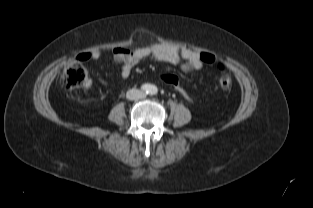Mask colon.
Here are the masks:
<instances>
[{"instance_id":"5ec220e1","label":"colon","mask_w":313,"mask_h":208,"mask_svg":"<svg viewBox=\"0 0 313 208\" xmlns=\"http://www.w3.org/2000/svg\"><path fill=\"white\" fill-rule=\"evenodd\" d=\"M200 59L205 64L216 62V57L211 52H201ZM219 70L221 71L218 79L220 87L229 89L232 83L231 77L223 71L221 66H219ZM162 80L174 88L178 99L186 103L192 102L189 92L185 89L177 75L165 74L162 76ZM62 83L67 89L80 88L88 84V72L80 60H73L67 64L62 76Z\"/></svg>"}]
</instances>
